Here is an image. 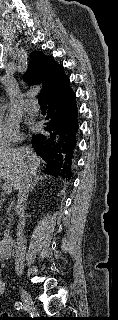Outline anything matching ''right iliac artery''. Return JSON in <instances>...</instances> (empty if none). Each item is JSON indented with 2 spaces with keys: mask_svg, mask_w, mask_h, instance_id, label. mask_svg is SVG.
<instances>
[{
  "mask_svg": "<svg viewBox=\"0 0 118 320\" xmlns=\"http://www.w3.org/2000/svg\"><path fill=\"white\" fill-rule=\"evenodd\" d=\"M14 307H15L16 310H20V309L23 308V304L21 302H16Z\"/></svg>",
  "mask_w": 118,
  "mask_h": 320,
  "instance_id": "right-iliac-artery-1",
  "label": "right iliac artery"
}]
</instances>
